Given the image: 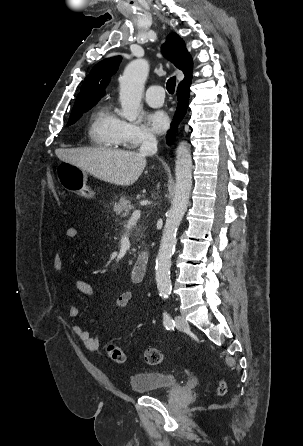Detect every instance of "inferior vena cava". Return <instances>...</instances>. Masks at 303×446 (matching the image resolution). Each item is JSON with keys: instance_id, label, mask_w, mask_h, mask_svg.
Masks as SVG:
<instances>
[{"instance_id": "602c4592", "label": "inferior vena cava", "mask_w": 303, "mask_h": 446, "mask_svg": "<svg viewBox=\"0 0 303 446\" xmlns=\"http://www.w3.org/2000/svg\"><path fill=\"white\" fill-rule=\"evenodd\" d=\"M157 152V140L153 135H146L139 149L141 155H153Z\"/></svg>"}]
</instances>
